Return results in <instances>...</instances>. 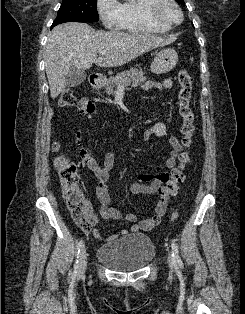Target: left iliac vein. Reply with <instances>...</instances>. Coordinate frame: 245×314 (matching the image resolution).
Segmentation results:
<instances>
[{
    "mask_svg": "<svg viewBox=\"0 0 245 314\" xmlns=\"http://www.w3.org/2000/svg\"><path fill=\"white\" fill-rule=\"evenodd\" d=\"M168 264H169V267L171 268V270L175 269V261H174L170 251L168 253Z\"/></svg>",
    "mask_w": 245,
    "mask_h": 314,
    "instance_id": "left-iliac-vein-1",
    "label": "left iliac vein"
}]
</instances>
